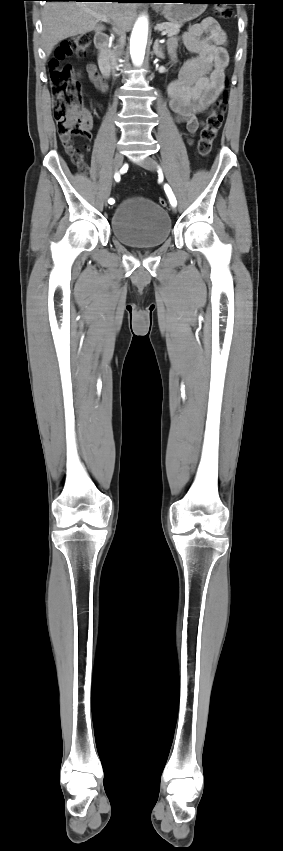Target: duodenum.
I'll use <instances>...</instances> for the list:
<instances>
[{
	"label": "duodenum",
	"mask_w": 283,
	"mask_h": 851,
	"mask_svg": "<svg viewBox=\"0 0 283 851\" xmlns=\"http://www.w3.org/2000/svg\"><path fill=\"white\" fill-rule=\"evenodd\" d=\"M110 38L107 34L100 33L95 37V46L97 49L98 55V63L101 69V73L103 77L110 80L109 74L111 69L109 67L108 61V48H109Z\"/></svg>",
	"instance_id": "duodenum-1"
}]
</instances>
